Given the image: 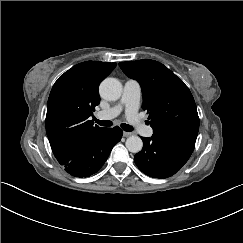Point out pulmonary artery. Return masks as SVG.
Here are the masks:
<instances>
[{"label":"pulmonary artery","mask_w":243,"mask_h":243,"mask_svg":"<svg viewBox=\"0 0 243 243\" xmlns=\"http://www.w3.org/2000/svg\"><path fill=\"white\" fill-rule=\"evenodd\" d=\"M140 100L141 84L134 79H126L123 83V91L119 103L107 110L96 112L95 116L99 120H111L124 111L129 121L138 122L140 120L138 113ZM144 134L151 138L154 134L153 127L151 125L147 126Z\"/></svg>","instance_id":"1"}]
</instances>
